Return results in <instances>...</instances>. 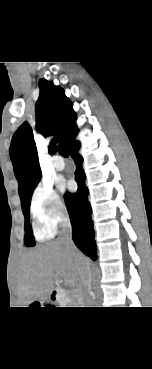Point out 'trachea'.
Here are the masks:
<instances>
[{"mask_svg": "<svg viewBox=\"0 0 152 369\" xmlns=\"http://www.w3.org/2000/svg\"><path fill=\"white\" fill-rule=\"evenodd\" d=\"M58 151L63 157H68L66 146L63 143L59 144Z\"/></svg>", "mask_w": 152, "mask_h": 369, "instance_id": "trachea-1", "label": "trachea"}]
</instances>
